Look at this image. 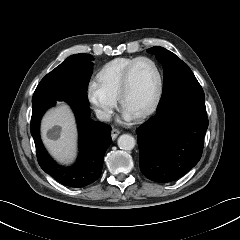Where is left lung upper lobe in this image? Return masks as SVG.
Instances as JSON below:
<instances>
[{"label": "left lung upper lobe", "instance_id": "1", "mask_svg": "<svg viewBox=\"0 0 240 240\" xmlns=\"http://www.w3.org/2000/svg\"><path fill=\"white\" fill-rule=\"evenodd\" d=\"M155 54L164 69L163 92L157 112L178 99L193 98L205 100V95L186 63L169 50L155 46L147 50Z\"/></svg>", "mask_w": 240, "mask_h": 240}]
</instances>
